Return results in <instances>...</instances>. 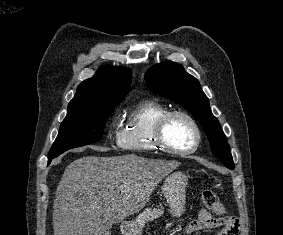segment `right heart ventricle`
Instances as JSON below:
<instances>
[{
	"instance_id": "right-heart-ventricle-1",
	"label": "right heart ventricle",
	"mask_w": 283,
	"mask_h": 235,
	"mask_svg": "<svg viewBox=\"0 0 283 235\" xmlns=\"http://www.w3.org/2000/svg\"><path fill=\"white\" fill-rule=\"evenodd\" d=\"M169 109L156 100L139 102L128 114L118 133V145L128 151L148 153L158 150L154 129L159 118Z\"/></svg>"
}]
</instances>
